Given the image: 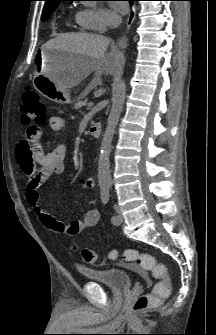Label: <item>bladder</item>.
Segmentation results:
<instances>
[{
    "label": "bladder",
    "instance_id": "obj_1",
    "mask_svg": "<svg viewBox=\"0 0 216 335\" xmlns=\"http://www.w3.org/2000/svg\"><path fill=\"white\" fill-rule=\"evenodd\" d=\"M86 279L101 283L113 291H127L131 288V274L125 270L108 267L103 269L78 268Z\"/></svg>",
    "mask_w": 216,
    "mask_h": 335
}]
</instances>
